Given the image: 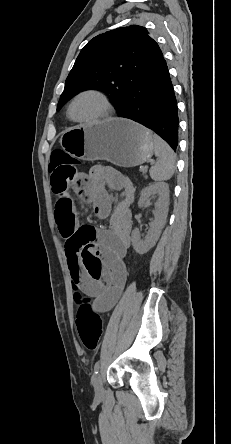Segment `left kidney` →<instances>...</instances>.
<instances>
[{
    "instance_id": "obj_1",
    "label": "left kidney",
    "mask_w": 231,
    "mask_h": 444,
    "mask_svg": "<svg viewBox=\"0 0 231 444\" xmlns=\"http://www.w3.org/2000/svg\"><path fill=\"white\" fill-rule=\"evenodd\" d=\"M158 195L156 209L154 211V220L150 223V229L144 239H141L138 229L132 232V245L138 254L147 253L158 241L161 231L165 225L168 203H169V185L165 182L149 184L140 195L139 207H142L152 195Z\"/></svg>"
}]
</instances>
